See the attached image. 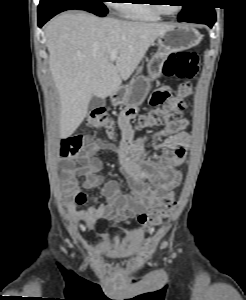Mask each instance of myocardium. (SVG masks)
<instances>
[{
  "label": "myocardium",
  "instance_id": "1",
  "mask_svg": "<svg viewBox=\"0 0 246 300\" xmlns=\"http://www.w3.org/2000/svg\"><path fill=\"white\" fill-rule=\"evenodd\" d=\"M153 2H154L155 10L160 15L167 16V17H173V16L178 15L183 8L182 6H179L178 9L174 13H168L166 10H164L162 4L159 3L160 2L159 0H153Z\"/></svg>",
  "mask_w": 246,
  "mask_h": 300
}]
</instances>
